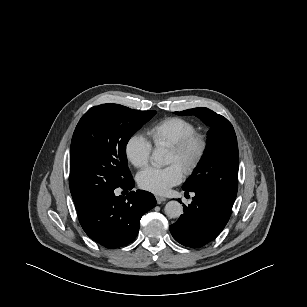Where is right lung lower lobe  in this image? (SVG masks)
Returning a JSON list of instances; mask_svg holds the SVG:
<instances>
[{"mask_svg": "<svg viewBox=\"0 0 307 307\" xmlns=\"http://www.w3.org/2000/svg\"><path fill=\"white\" fill-rule=\"evenodd\" d=\"M133 187L131 177L120 188L131 190ZM155 204V197L147 191H131L123 197L115 196L112 190L76 210L83 230L91 239L104 247L118 248L135 239L141 217Z\"/></svg>", "mask_w": 307, "mask_h": 307, "instance_id": "obj_1", "label": "right lung lower lobe"}]
</instances>
